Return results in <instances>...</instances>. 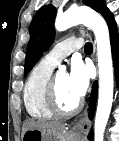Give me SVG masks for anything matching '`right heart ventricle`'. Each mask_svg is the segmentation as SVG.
Segmentation results:
<instances>
[{
	"instance_id": "e07e8e85",
	"label": "right heart ventricle",
	"mask_w": 119,
	"mask_h": 141,
	"mask_svg": "<svg viewBox=\"0 0 119 141\" xmlns=\"http://www.w3.org/2000/svg\"><path fill=\"white\" fill-rule=\"evenodd\" d=\"M54 65L40 61L29 74L24 86V104L28 114L39 120L53 117L45 102V91Z\"/></svg>"
}]
</instances>
